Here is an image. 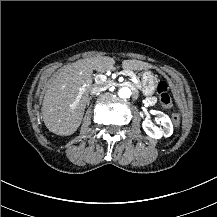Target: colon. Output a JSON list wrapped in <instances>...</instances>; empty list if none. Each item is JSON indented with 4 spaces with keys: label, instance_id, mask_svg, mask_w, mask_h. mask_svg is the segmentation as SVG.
<instances>
[{
    "label": "colon",
    "instance_id": "colon-1",
    "mask_svg": "<svg viewBox=\"0 0 217 217\" xmlns=\"http://www.w3.org/2000/svg\"><path fill=\"white\" fill-rule=\"evenodd\" d=\"M157 93L159 97L160 104L164 108H170L172 104V99L169 93L168 84L165 81H160L157 84ZM173 121L176 127H180L182 124L181 117L178 115L173 116Z\"/></svg>",
    "mask_w": 217,
    "mask_h": 217
}]
</instances>
